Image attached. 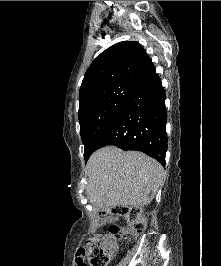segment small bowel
<instances>
[{"label": "small bowel", "instance_id": "c3829d8e", "mask_svg": "<svg viewBox=\"0 0 221 266\" xmlns=\"http://www.w3.org/2000/svg\"><path fill=\"white\" fill-rule=\"evenodd\" d=\"M77 250L79 252L73 253V256L76 257L75 266H88V264L85 262V258H84L86 256V253L81 252V251H85L86 247L85 246H78Z\"/></svg>", "mask_w": 221, "mask_h": 266}]
</instances>
